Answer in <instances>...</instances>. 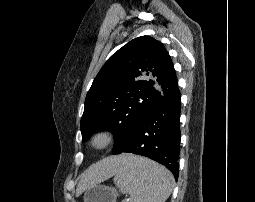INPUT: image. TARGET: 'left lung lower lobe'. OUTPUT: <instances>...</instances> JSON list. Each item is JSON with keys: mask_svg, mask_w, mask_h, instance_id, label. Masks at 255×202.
Masks as SVG:
<instances>
[{"mask_svg": "<svg viewBox=\"0 0 255 202\" xmlns=\"http://www.w3.org/2000/svg\"><path fill=\"white\" fill-rule=\"evenodd\" d=\"M180 109L181 95L177 89L165 96L147 114L120 153H133L155 160L167 167L177 180Z\"/></svg>", "mask_w": 255, "mask_h": 202, "instance_id": "obj_1", "label": "left lung lower lobe"}]
</instances>
